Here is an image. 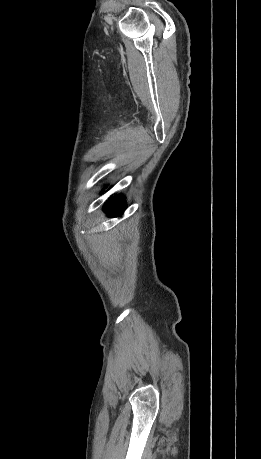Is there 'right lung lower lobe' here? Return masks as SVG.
<instances>
[{
  "label": "right lung lower lobe",
  "instance_id": "98d812e1",
  "mask_svg": "<svg viewBox=\"0 0 261 459\" xmlns=\"http://www.w3.org/2000/svg\"><path fill=\"white\" fill-rule=\"evenodd\" d=\"M125 203L122 196H116L110 199L104 207V211L110 217H117L125 210Z\"/></svg>",
  "mask_w": 261,
  "mask_h": 459
}]
</instances>
